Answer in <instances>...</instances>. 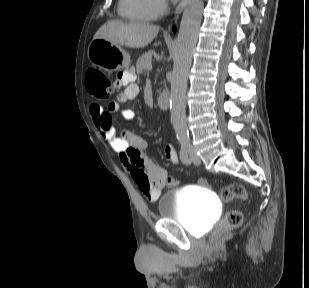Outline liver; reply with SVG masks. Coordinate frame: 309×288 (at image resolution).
I'll use <instances>...</instances> for the list:
<instances>
[{"label": "liver", "instance_id": "liver-1", "mask_svg": "<svg viewBox=\"0 0 309 288\" xmlns=\"http://www.w3.org/2000/svg\"><path fill=\"white\" fill-rule=\"evenodd\" d=\"M158 32L159 26L156 25L111 20L99 28L94 38H105L117 45L130 48H142L151 43Z\"/></svg>", "mask_w": 309, "mask_h": 288}]
</instances>
